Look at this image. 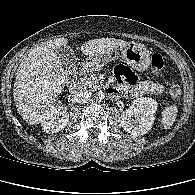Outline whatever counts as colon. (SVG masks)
<instances>
[{"label": "colon", "mask_w": 195, "mask_h": 195, "mask_svg": "<svg viewBox=\"0 0 195 195\" xmlns=\"http://www.w3.org/2000/svg\"><path fill=\"white\" fill-rule=\"evenodd\" d=\"M164 69L163 57L154 53L151 56V70L154 74H160ZM83 74V65L81 63H76L70 74V80L78 79ZM181 87L177 82H172L169 86V94L173 99H179L181 97Z\"/></svg>", "instance_id": "5ec220e1"}]
</instances>
